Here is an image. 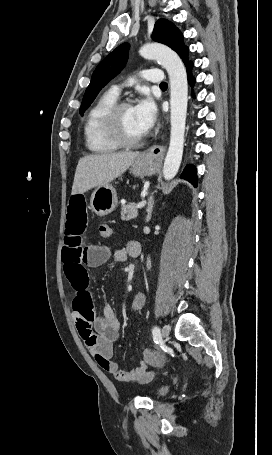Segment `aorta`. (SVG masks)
<instances>
[{
    "label": "aorta",
    "mask_w": 272,
    "mask_h": 455,
    "mask_svg": "<svg viewBox=\"0 0 272 455\" xmlns=\"http://www.w3.org/2000/svg\"><path fill=\"white\" fill-rule=\"evenodd\" d=\"M139 54L154 59L167 70L170 79V144L164 161L163 177L173 179L178 173L184 148V135L188 103V81L185 66L170 48L156 43L143 45Z\"/></svg>",
    "instance_id": "1"
}]
</instances>
